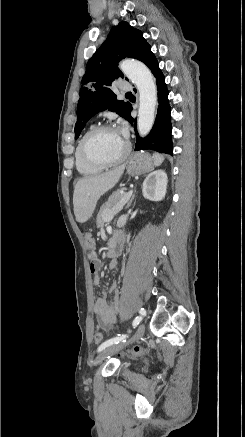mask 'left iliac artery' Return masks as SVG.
Returning a JSON list of instances; mask_svg holds the SVG:
<instances>
[{
    "label": "left iliac artery",
    "mask_w": 245,
    "mask_h": 437,
    "mask_svg": "<svg viewBox=\"0 0 245 437\" xmlns=\"http://www.w3.org/2000/svg\"><path fill=\"white\" fill-rule=\"evenodd\" d=\"M139 313L142 315V316H145L146 315V310L144 309V308H141L140 310H139ZM141 321V317H137L135 320H134V324L136 323V324H139V322ZM127 337V335L126 334H123V335H120V334H118V336H116V337H114V338H111V339H109V340H107V341H105V342H103L99 347H98V352H101V351H103L104 349H106L107 347H109V346H111V345H113V344H117V343H119V342H125L126 340H125V338Z\"/></svg>",
    "instance_id": "1"
}]
</instances>
